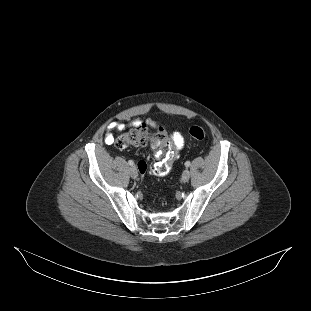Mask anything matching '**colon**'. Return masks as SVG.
Masks as SVG:
<instances>
[{
	"label": "colon",
	"instance_id": "1",
	"mask_svg": "<svg viewBox=\"0 0 311 311\" xmlns=\"http://www.w3.org/2000/svg\"><path fill=\"white\" fill-rule=\"evenodd\" d=\"M189 133L192 138L196 140H203L206 136L205 130L200 126H192L189 130ZM115 145L119 149L151 145L153 148L160 152V158L163 157L158 159L153 164V172L156 175L164 176L170 170L167 156L173 152L172 142L162 128L152 132L145 124L133 126L127 132L117 137ZM137 167L141 175L146 173L147 163L145 161L138 162Z\"/></svg>",
	"mask_w": 311,
	"mask_h": 311
}]
</instances>
